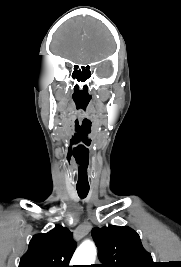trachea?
<instances>
[{
  "mask_svg": "<svg viewBox=\"0 0 181 267\" xmlns=\"http://www.w3.org/2000/svg\"><path fill=\"white\" fill-rule=\"evenodd\" d=\"M78 195L81 199L85 198L89 192V187H76Z\"/></svg>",
  "mask_w": 181,
  "mask_h": 267,
  "instance_id": "trachea-1",
  "label": "trachea"
}]
</instances>
